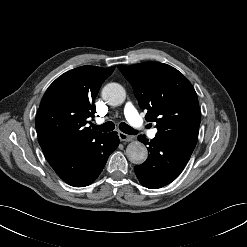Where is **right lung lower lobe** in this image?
<instances>
[{"label": "right lung lower lobe", "mask_w": 247, "mask_h": 247, "mask_svg": "<svg viewBox=\"0 0 247 247\" xmlns=\"http://www.w3.org/2000/svg\"><path fill=\"white\" fill-rule=\"evenodd\" d=\"M118 145L117 132L105 133L94 140L66 147L48 163L67 184L87 186L99 176Z\"/></svg>", "instance_id": "98d812e1"}]
</instances>
